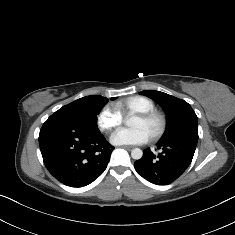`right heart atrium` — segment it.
<instances>
[{
    "mask_svg": "<svg viewBox=\"0 0 235 235\" xmlns=\"http://www.w3.org/2000/svg\"><path fill=\"white\" fill-rule=\"evenodd\" d=\"M122 124V115L118 112L116 105L106 104L96 116V125L103 133H108Z\"/></svg>",
    "mask_w": 235,
    "mask_h": 235,
    "instance_id": "obj_1",
    "label": "right heart atrium"
}]
</instances>
